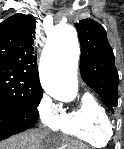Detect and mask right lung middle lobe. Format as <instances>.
<instances>
[{
	"instance_id": "1",
	"label": "right lung middle lobe",
	"mask_w": 124,
	"mask_h": 149,
	"mask_svg": "<svg viewBox=\"0 0 124 149\" xmlns=\"http://www.w3.org/2000/svg\"><path fill=\"white\" fill-rule=\"evenodd\" d=\"M43 90L24 74L0 68V106L24 109L38 114Z\"/></svg>"
}]
</instances>
